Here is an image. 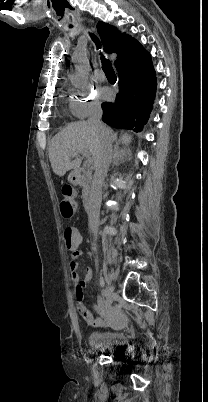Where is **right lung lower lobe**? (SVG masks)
I'll return each mask as SVG.
<instances>
[{
  "label": "right lung lower lobe",
  "mask_w": 208,
  "mask_h": 402,
  "mask_svg": "<svg viewBox=\"0 0 208 402\" xmlns=\"http://www.w3.org/2000/svg\"><path fill=\"white\" fill-rule=\"evenodd\" d=\"M115 65L119 72L120 92L113 103H103L102 120L118 129L140 132L149 119L156 95V76L151 55L132 39Z\"/></svg>",
  "instance_id": "98d812e1"
}]
</instances>
